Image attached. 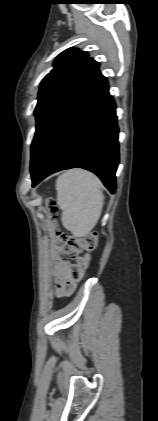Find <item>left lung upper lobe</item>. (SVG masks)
<instances>
[{
	"label": "left lung upper lobe",
	"instance_id": "obj_1",
	"mask_svg": "<svg viewBox=\"0 0 158 421\" xmlns=\"http://www.w3.org/2000/svg\"><path fill=\"white\" fill-rule=\"evenodd\" d=\"M87 52L68 48L54 61V67L40 84L35 109L36 132L32 154L41 136L71 97L99 71V63Z\"/></svg>",
	"mask_w": 158,
	"mask_h": 421
}]
</instances>
